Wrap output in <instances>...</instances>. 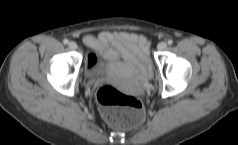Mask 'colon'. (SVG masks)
Instances as JSON below:
<instances>
[{"mask_svg":"<svg viewBox=\"0 0 238 145\" xmlns=\"http://www.w3.org/2000/svg\"><path fill=\"white\" fill-rule=\"evenodd\" d=\"M96 100L103 117L117 127L131 128L144 119L142 100L112 85L101 86L96 93Z\"/></svg>","mask_w":238,"mask_h":145,"instance_id":"1","label":"colon"}]
</instances>
